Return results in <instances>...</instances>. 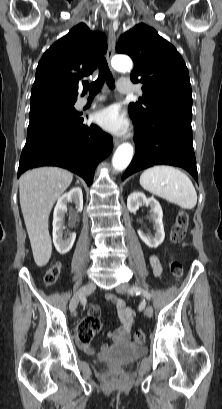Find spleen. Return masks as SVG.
<instances>
[{"mask_svg": "<svg viewBox=\"0 0 222 409\" xmlns=\"http://www.w3.org/2000/svg\"><path fill=\"white\" fill-rule=\"evenodd\" d=\"M140 185L181 208L193 209L196 206L197 193L191 180L175 167L159 165L146 169L140 176Z\"/></svg>", "mask_w": 222, "mask_h": 409, "instance_id": "spleen-1", "label": "spleen"}]
</instances>
